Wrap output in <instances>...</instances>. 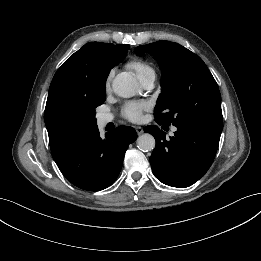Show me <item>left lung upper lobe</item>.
<instances>
[{"mask_svg":"<svg viewBox=\"0 0 261 261\" xmlns=\"http://www.w3.org/2000/svg\"><path fill=\"white\" fill-rule=\"evenodd\" d=\"M143 52L154 56L163 71V90L154 109L157 123L223 126L218 85L199 56L170 41L138 46L137 54Z\"/></svg>","mask_w":261,"mask_h":261,"instance_id":"left-lung-upper-lobe-1","label":"left lung upper lobe"}]
</instances>
